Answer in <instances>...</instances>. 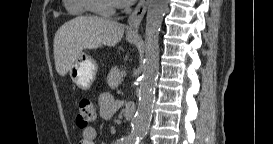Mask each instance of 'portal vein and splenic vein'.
<instances>
[{
  "instance_id": "obj_1",
  "label": "portal vein and splenic vein",
  "mask_w": 273,
  "mask_h": 144,
  "mask_svg": "<svg viewBox=\"0 0 273 144\" xmlns=\"http://www.w3.org/2000/svg\"><path fill=\"white\" fill-rule=\"evenodd\" d=\"M125 76H126V72L125 71L121 72V77H125Z\"/></svg>"
}]
</instances>
